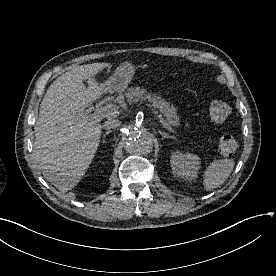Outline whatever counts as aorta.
<instances>
[{"label": "aorta", "mask_w": 276, "mask_h": 276, "mask_svg": "<svg viewBox=\"0 0 276 276\" xmlns=\"http://www.w3.org/2000/svg\"><path fill=\"white\" fill-rule=\"evenodd\" d=\"M125 149L133 155H147L153 149L152 136L136 127H130L125 132Z\"/></svg>", "instance_id": "762f6f07"}]
</instances>
